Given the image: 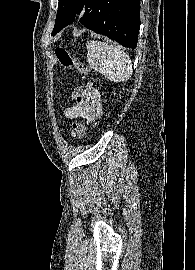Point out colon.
<instances>
[{"label":"colon","mask_w":195,"mask_h":270,"mask_svg":"<svg viewBox=\"0 0 195 270\" xmlns=\"http://www.w3.org/2000/svg\"><path fill=\"white\" fill-rule=\"evenodd\" d=\"M55 57L57 62L65 68H71L74 67L77 70H79L82 73H86V69L84 65L77 60L72 54L63 47H57L54 50ZM81 92V88L77 86L74 91L71 94L72 98H78L79 94ZM71 132L72 135L77 139H82L85 137L86 129L82 122L75 121L71 125Z\"/></svg>","instance_id":"5ec220e1"}]
</instances>
